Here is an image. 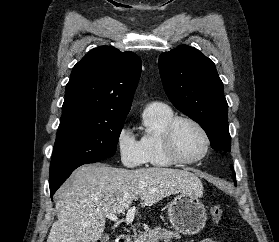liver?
Listing matches in <instances>:
<instances>
[{
	"instance_id": "obj_1",
	"label": "liver",
	"mask_w": 279,
	"mask_h": 242,
	"mask_svg": "<svg viewBox=\"0 0 279 242\" xmlns=\"http://www.w3.org/2000/svg\"><path fill=\"white\" fill-rule=\"evenodd\" d=\"M202 191L200 179L186 170L85 165L74 171L54 196L58 219L47 242H97L106 215L123 213L138 198L151 206L172 194L200 197Z\"/></svg>"
}]
</instances>
